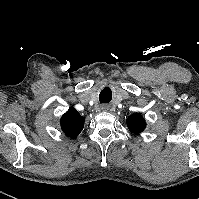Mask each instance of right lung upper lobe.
<instances>
[{"instance_id": "obj_1", "label": "right lung upper lobe", "mask_w": 199, "mask_h": 199, "mask_svg": "<svg viewBox=\"0 0 199 199\" xmlns=\"http://www.w3.org/2000/svg\"><path fill=\"white\" fill-rule=\"evenodd\" d=\"M60 124L65 135L73 139L83 130L84 117L74 107H70L62 116Z\"/></svg>"}]
</instances>
